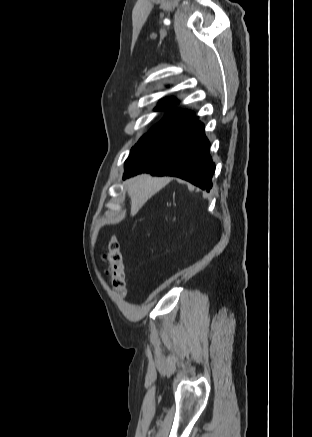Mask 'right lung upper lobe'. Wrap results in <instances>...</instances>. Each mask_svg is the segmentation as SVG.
<instances>
[{
  "mask_svg": "<svg viewBox=\"0 0 312 437\" xmlns=\"http://www.w3.org/2000/svg\"><path fill=\"white\" fill-rule=\"evenodd\" d=\"M176 103H177V99H175V98H165V99H163V100H161L159 102L161 107H164L166 105H174ZM173 109H175V108H173ZM178 110H182V109H178ZM182 111L191 112V111H188V110H182Z\"/></svg>",
  "mask_w": 312,
  "mask_h": 437,
  "instance_id": "right-lung-upper-lobe-1",
  "label": "right lung upper lobe"
}]
</instances>
